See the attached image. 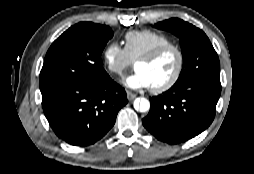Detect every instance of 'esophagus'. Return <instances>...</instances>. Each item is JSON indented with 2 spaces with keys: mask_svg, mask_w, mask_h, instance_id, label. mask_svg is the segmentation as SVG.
<instances>
[{
  "mask_svg": "<svg viewBox=\"0 0 254 174\" xmlns=\"http://www.w3.org/2000/svg\"><path fill=\"white\" fill-rule=\"evenodd\" d=\"M127 98L129 101H132L136 98V94L131 91H127Z\"/></svg>",
  "mask_w": 254,
  "mask_h": 174,
  "instance_id": "1",
  "label": "esophagus"
}]
</instances>
